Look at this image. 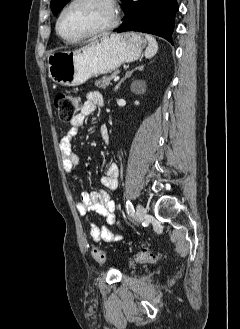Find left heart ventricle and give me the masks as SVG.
I'll return each mask as SVG.
<instances>
[{
    "label": "left heart ventricle",
    "mask_w": 240,
    "mask_h": 329,
    "mask_svg": "<svg viewBox=\"0 0 240 329\" xmlns=\"http://www.w3.org/2000/svg\"><path fill=\"white\" fill-rule=\"evenodd\" d=\"M111 21V11L103 0H81L68 9L60 22L66 37H77L101 28Z\"/></svg>",
    "instance_id": "left-heart-ventricle-1"
}]
</instances>
